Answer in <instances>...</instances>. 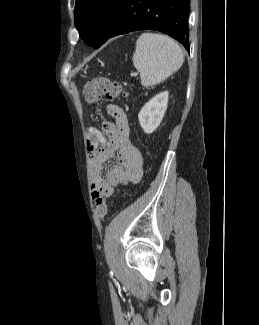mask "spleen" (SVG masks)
Listing matches in <instances>:
<instances>
[{"label": "spleen", "instance_id": "1", "mask_svg": "<svg viewBox=\"0 0 259 325\" xmlns=\"http://www.w3.org/2000/svg\"><path fill=\"white\" fill-rule=\"evenodd\" d=\"M184 62L180 46L170 37L158 33H143L136 41L133 64L145 87L163 82Z\"/></svg>", "mask_w": 259, "mask_h": 325}]
</instances>
